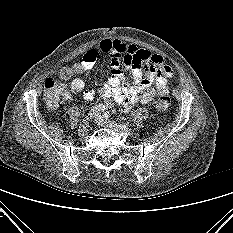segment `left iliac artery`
<instances>
[{
	"instance_id": "left-iliac-artery-1",
	"label": "left iliac artery",
	"mask_w": 233,
	"mask_h": 233,
	"mask_svg": "<svg viewBox=\"0 0 233 233\" xmlns=\"http://www.w3.org/2000/svg\"><path fill=\"white\" fill-rule=\"evenodd\" d=\"M110 113L109 112H105L104 114H103V118H105L106 120L110 117ZM120 125H122V126H124V127H127V126H130L129 125V123H122V124H120Z\"/></svg>"
}]
</instances>
